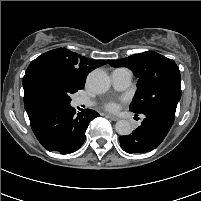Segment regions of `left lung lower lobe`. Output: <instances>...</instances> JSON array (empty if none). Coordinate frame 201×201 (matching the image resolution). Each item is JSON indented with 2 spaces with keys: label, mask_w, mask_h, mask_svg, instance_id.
<instances>
[{
  "label": "left lung lower lobe",
  "mask_w": 201,
  "mask_h": 201,
  "mask_svg": "<svg viewBox=\"0 0 201 201\" xmlns=\"http://www.w3.org/2000/svg\"><path fill=\"white\" fill-rule=\"evenodd\" d=\"M174 109L158 107L145 113L141 125L132 134L119 137L121 147L127 153H146L155 149L166 137L174 119Z\"/></svg>",
  "instance_id": "left-lung-lower-lobe-1"
}]
</instances>
